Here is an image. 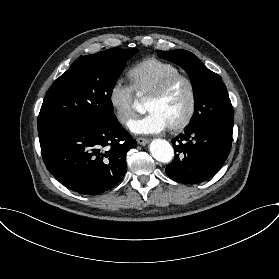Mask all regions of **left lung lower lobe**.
Masks as SVG:
<instances>
[{
    "mask_svg": "<svg viewBox=\"0 0 279 279\" xmlns=\"http://www.w3.org/2000/svg\"><path fill=\"white\" fill-rule=\"evenodd\" d=\"M232 132L233 124L216 121L187 127L183 134L171 140L178 154L167 165L166 174L186 184L209 179L218 172L229 155Z\"/></svg>",
    "mask_w": 279,
    "mask_h": 279,
    "instance_id": "1",
    "label": "left lung lower lobe"
}]
</instances>
